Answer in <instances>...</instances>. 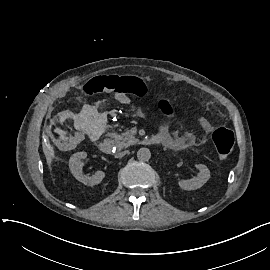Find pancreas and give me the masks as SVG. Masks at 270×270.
<instances>
[{
	"mask_svg": "<svg viewBox=\"0 0 270 270\" xmlns=\"http://www.w3.org/2000/svg\"><path fill=\"white\" fill-rule=\"evenodd\" d=\"M111 137L115 139V146L121 150L131 145V142H136V139L131 135L129 131L122 133L121 135L111 134Z\"/></svg>",
	"mask_w": 270,
	"mask_h": 270,
	"instance_id": "cf45deb5",
	"label": "pancreas"
}]
</instances>
